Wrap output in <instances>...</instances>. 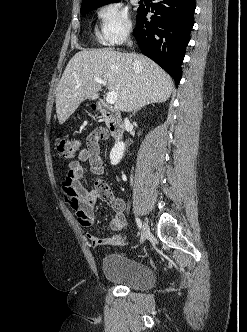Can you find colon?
<instances>
[{"label":"colon","mask_w":247,"mask_h":332,"mask_svg":"<svg viewBox=\"0 0 247 332\" xmlns=\"http://www.w3.org/2000/svg\"><path fill=\"white\" fill-rule=\"evenodd\" d=\"M56 150L62 158L71 159L80 150V142L75 138L61 136L56 141Z\"/></svg>","instance_id":"obj_1"}]
</instances>
